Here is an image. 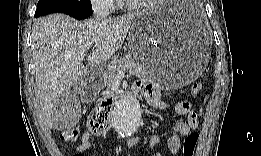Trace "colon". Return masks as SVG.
<instances>
[{"mask_svg":"<svg viewBox=\"0 0 261 156\" xmlns=\"http://www.w3.org/2000/svg\"><path fill=\"white\" fill-rule=\"evenodd\" d=\"M204 84L201 81L195 82L191 86V95L198 96L203 90ZM110 124V105L103 103L97 106L90 114L87 126L95 135L105 133ZM60 139L66 142H75L78 140V131L75 129L64 130L60 134ZM199 139L198 133H192L186 137L183 145L184 156H194L197 142Z\"/></svg>","mask_w":261,"mask_h":156,"instance_id":"5ec220e1","label":"colon"}]
</instances>
